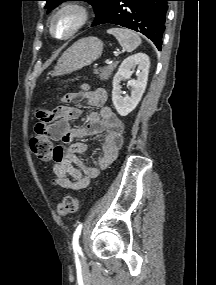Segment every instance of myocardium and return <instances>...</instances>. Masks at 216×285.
Returning <instances> with one entry per match:
<instances>
[{
  "label": "myocardium",
  "instance_id": "1",
  "mask_svg": "<svg viewBox=\"0 0 216 285\" xmlns=\"http://www.w3.org/2000/svg\"><path fill=\"white\" fill-rule=\"evenodd\" d=\"M64 13H73L76 16V23L72 29L64 34L57 35L54 32V23L56 19ZM90 13L88 8L80 3H67L58 8L51 16L49 20V32L52 37L57 40L66 41L73 38L84 26L88 23Z\"/></svg>",
  "mask_w": 216,
  "mask_h": 285
}]
</instances>
